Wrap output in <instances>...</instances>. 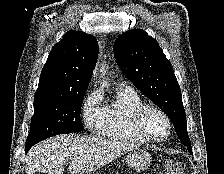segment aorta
<instances>
[{
  "label": "aorta",
  "mask_w": 224,
  "mask_h": 174,
  "mask_svg": "<svg viewBox=\"0 0 224 174\" xmlns=\"http://www.w3.org/2000/svg\"><path fill=\"white\" fill-rule=\"evenodd\" d=\"M101 71L103 72L104 71V68L102 67Z\"/></svg>",
  "instance_id": "aorta-1"
}]
</instances>
